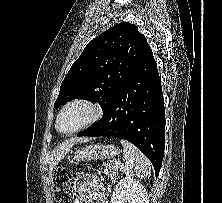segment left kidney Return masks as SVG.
I'll return each mask as SVG.
<instances>
[{
	"label": "left kidney",
	"mask_w": 222,
	"mask_h": 203,
	"mask_svg": "<svg viewBox=\"0 0 222 203\" xmlns=\"http://www.w3.org/2000/svg\"><path fill=\"white\" fill-rule=\"evenodd\" d=\"M146 189L131 177L122 178L112 192L111 203H145Z\"/></svg>",
	"instance_id": "5707ae66"
}]
</instances>
